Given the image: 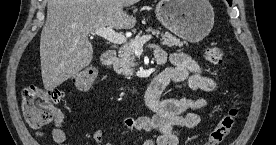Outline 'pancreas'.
<instances>
[{"label": "pancreas", "instance_id": "obj_1", "mask_svg": "<svg viewBox=\"0 0 276 145\" xmlns=\"http://www.w3.org/2000/svg\"><path fill=\"white\" fill-rule=\"evenodd\" d=\"M146 32L155 33V30L148 28ZM141 33L142 32H140L134 40L140 39ZM162 40V45L167 47H182L184 44L182 41H180L168 32L162 34ZM130 43L120 48L118 52L119 59L114 63V70L118 74L124 75L127 79H131L134 76V67L137 65L134 56L135 51L130 47Z\"/></svg>", "mask_w": 276, "mask_h": 145}]
</instances>
